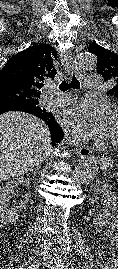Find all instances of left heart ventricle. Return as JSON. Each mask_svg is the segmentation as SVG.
Returning <instances> with one entry per match:
<instances>
[{
	"mask_svg": "<svg viewBox=\"0 0 118 269\" xmlns=\"http://www.w3.org/2000/svg\"><path fill=\"white\" fill-rule=\"evenodd\" d=\"M108 139L118 141V115L113 112L112 120L110 122Z\"/></svg>",
	"mask_w": 118,
	"mask_h": 269,
	"instance_id": "b2bd125f",
	"label": "left heart ventricle"
}]
</instances>
